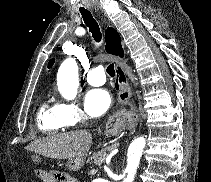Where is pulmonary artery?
<instances>
[{
	"mask_svg": "<svg viewBox=\"0 0 211 182\" xmlns=\"http://www.w3.org/2000/svg\"><path fill=\"white\" fill-rule=\"evenodd\" d=\"M106 75L103 67H96L89 71L87 81L92 86H100L105 83Z\"/></svg>",
	"mask_w": 211,
	"mask_h": 182,
	"instance_id": "1",
	"label": "pulmonary artery"
}]
</instances>
